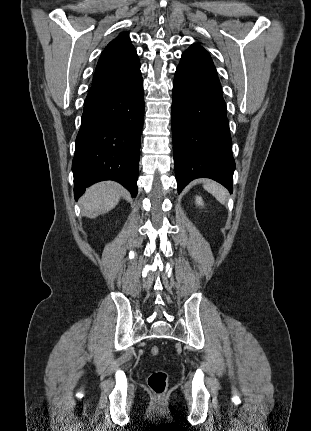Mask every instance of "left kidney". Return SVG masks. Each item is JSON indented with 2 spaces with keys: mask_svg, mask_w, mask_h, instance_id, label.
<instances>
[{
  "mask_svg": "<svg viewBox=\"0 0 311 431\" xmlns=\"http://www.w3.org/2000/svg\"><path fill=\"white\" fill-rule=\"evenodd\" d=\"M196 202L198 206H203L202 198H199V196H196Z\"/></svg>",
  "mask_w": 311,
  "mask_h": 431,
  "instance_id": "obj_1",
  "label": "left kidney"
}]
</instances>
